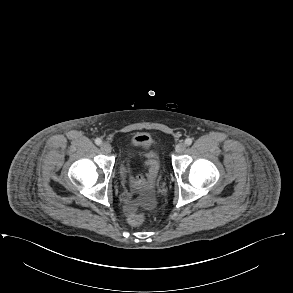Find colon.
I'll use <instances>...</instances> for the list:
<instances>
[{"instance_id":"colon-1","label":"colon","mask_w":293,"mask_h":293,"mask_svg":"<svg viewBox=\"0 0 293 293\" xmlns=\"http://www.w3.org/2000/svg\"><path fill=\"white\" fill-rule=\"evenodd\" d=\"M148 166L150 169V174H149L147 181H143L145 186L148 185V182L151 181V179L153 178V176L155 175V173L157 171V164H156L155 160L152 159V157L148 161ZM144 220H145L144 213H136V214L129 216V218H128L129 223L134 227L140 226L144 222Z\"/></svg>"}]
</instances>
